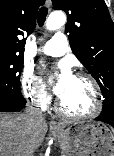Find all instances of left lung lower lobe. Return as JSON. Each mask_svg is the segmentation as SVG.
<instances>
[{"instance_id":"1","label":"left lung lower lobe","mask_w":114,"mask_h":156,"mask_svg":"<svg viewBox=\"0 0 114 156\" xmlns=\"http://www.w3.org/2000/svg\"><path fill=\"white\" fill-rule=\"evenodd\" d=\"M95 120L102 121L104 123H108L112 127H114V114L101 113L97 118H95Z\"/></svg>"}]
</instances>
